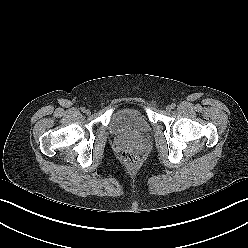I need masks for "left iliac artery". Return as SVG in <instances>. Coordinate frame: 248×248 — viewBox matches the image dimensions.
Here are the masks:
<instances>
[{"mask_svg": "<svg viewBox=\"0 0 248 248\" xmlns=\"http://www.w3.org/2000/svg\"><path fill=\"white\" fill-rule=\"evenodd\" d=\"M171 107H172V109H174L176 107V104L175 103H172L171 104Z\"/></svg>", "mask_w": 248, "mask_h": 248, "instance_id": "left-iliac-artery-1", "label": "left iliac artery"}]
</instances>
